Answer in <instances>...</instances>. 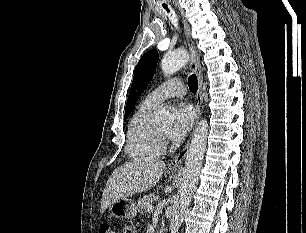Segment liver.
I'll use <instances>...</instances> for the list:
<instances>
[{
  "instance_id": "liver-1",
  "label": "liver",
  "mask_w": 306,
  "mask_h": 233,
  "mask_svg": "<svg viewBox=\"0 0 306 233\" xmlns=\"http://www.w3.org/2000/svg\"><path fill=\"white\" fill-rule=\"evenodd\" d=\"M166 164L151 158H136L115 169L104 188L100 212L115 201L154 187L162 177Z\"/></svg>"
}]
</instances>
